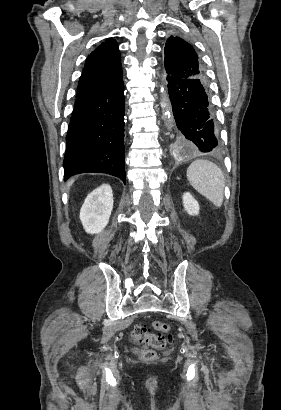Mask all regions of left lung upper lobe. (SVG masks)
Returning a JSON list of instances; mask_svg holds the SVG:
<instances>
[{
  "label": "left lung upper lobe",
  "instance_id": "1",
  "mask_svg": "<svg viewBox=\"0 0 281 410\" xmlns=\"http://www.w3.org/2000/svg\"><path fill=\"white\" fill-rule=\"evenodd\" d=\"M165 73L184 79H203L205 73L193 47L177 36H170L165 45Z\"/></svg>",
  "mask_w": 281,
  "mask_h": 410
}]
</instances>
